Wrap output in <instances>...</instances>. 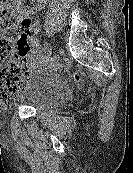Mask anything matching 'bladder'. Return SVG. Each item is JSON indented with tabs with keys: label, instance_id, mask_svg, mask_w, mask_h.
I'll return each mask as SVG.
<instances>
[{
	"label": "bladder",
	"instance_id": "1",
	"mask_svg": "<svg viewBox=\"0 0 133 173\" xmlns=\"http://www.w3.org/2000/svg\"><path fill=\"white\" fill-rule=\"evenodd\" d=\"M68 95L65 79L57 72L45 69L29 76L19 104L38 112L55 113L66 103Z\"/></svg>",
	"mask_w": 133,
	"mask_h": 173
}]
</instances>
